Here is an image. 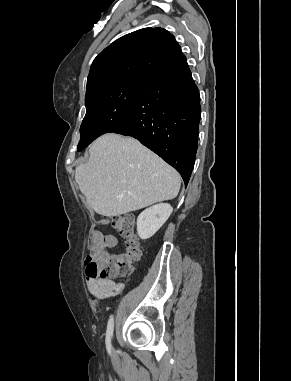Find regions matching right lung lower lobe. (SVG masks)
I'll list each match as a JSON object with an SVG mask.
<instances>
[{"label":"right lung lower lobe","instance_id":"98d812e1","mask_svg":"<svg viewBox=\"0 0 291 381\" xmlns=\"http://www.w3.org/2000/svg\"><path fill=\"white\" fill-rule=\"evenodd\" d=\"M200 95L186 57L143 80L128 121L113 133L132 136L188 184L197 152Z\"/></svg>","mask_w":291,"mask_h":381}]
</instances>
